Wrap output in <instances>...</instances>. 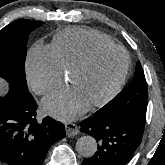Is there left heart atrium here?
<instances>
[{"instance_id": "obj_1", "label": "left heart atrium", "mask_w": 165, "mask_h": 165, "mask_svg": "<svg viewBox=\"0 0 165 165\" xmlns=\"http://www.w3.org/2000/svg\"><path fill=\"white\" fill-rule=\"evenodd\" d=\"M88 106L89 102L74 86L54 91L42 101L43 110L59 120H72L84 113Z\"/></svg>"}]
</instances>
